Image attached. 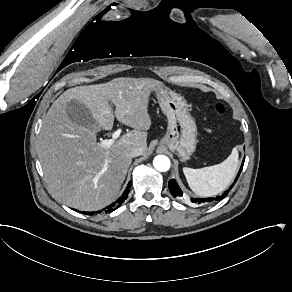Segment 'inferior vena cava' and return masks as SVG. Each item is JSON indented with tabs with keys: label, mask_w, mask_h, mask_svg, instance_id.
<instances>
[{
	"label": "inferior vena cava",
	"mask_w": 292,
	"mask_h": 292,
	"mask_svg": "<svg viewBox=\"0 0 292 292\" xmlns=\"http://www.w3.org/2000/svg\"><path fill=\"white\" fill-rule=\"evenodd\" d=\"M142 153H143V149L141 147H136L132 149L130 155L131 157H137V156L142 155Z\"/></svg>",
	"instance_id": "obj_1"
}]
</instances>
